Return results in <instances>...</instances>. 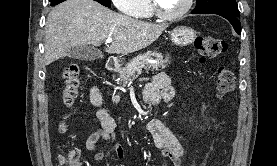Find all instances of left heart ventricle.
<instances>
[{"label": "left heart ventricle", "instance_id": "b2bd125f", "mask_svg": "<svg viewBox=\"0 0 277 166\" xmlns=\"http://www.w3.org/2000/svg\"><path fill=\"white\" fill-rule=\"evenodd\" d=\"M157 2L163 12L173 14L185 5L186 0H157Z\"/></svg>", "mask_w": 277, "mask_h": 166}]
</instances>
